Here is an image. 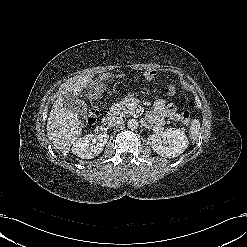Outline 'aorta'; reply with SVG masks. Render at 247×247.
I'll use <instances>...</instances> for the list:
<instances>
[{
	"label": "aorta",
	"mask_w": 247,
	"mask_h": 247,
	"mask_svg": "<svg viewBox=\"0 0 247 247\" xmlns=\"http://www.w3.org/2000/svg\"><path fill=\"white\" fill-rule=\"evenodd\" d=\"M127 127L131 130H136L139 127V122L135 118H131L127 121Z\"/></svg>",
	"instance_id": "1"
}]
</instances>
